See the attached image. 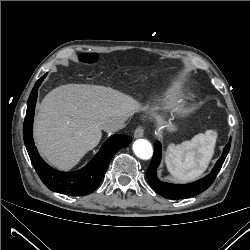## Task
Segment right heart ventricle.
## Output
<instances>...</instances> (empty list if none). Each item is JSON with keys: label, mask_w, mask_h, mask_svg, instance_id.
<instances>
[{"label": "right heart ventricle", "mask_w": 250, "mask_h": 250, "mask_svg": "<svg viewBox=\"0 0 250 250\" xmlns=\"http://www.w3.org/2000/svg\"><path fill=\"white\" fill-rule=\"evenodd\" d=\"M184 88L180 83H171L164 92V99L166 101H175L183 94Z\"/></svg>", "instance_id": "right-heart-ventricle-1"}]
</instances>
